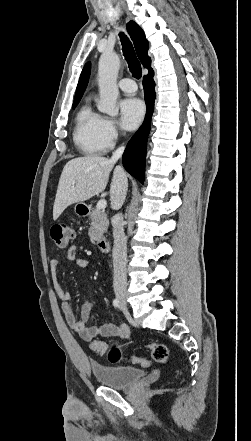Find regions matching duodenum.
I'll use <instances>...</instances> for the list:
<instances>
[{
	"label": "duodenum",
	"mask_w": 251,
	"mask_h": 441,
	"mask_svg": "<svg viewBox=\"0 0 251 441\" xmlns=\"http://www.w3.org/2000/svg\"><path fill=\"white\" fill-rule=\"evenodd\" d=\"M89 213L88 208L84 207L81 211V215H87ZM98 248L102 252H108L110 249V241L106 237H100L97 241Z\"/></svg>",
	"instance_id": "1"
}]
</instances>
